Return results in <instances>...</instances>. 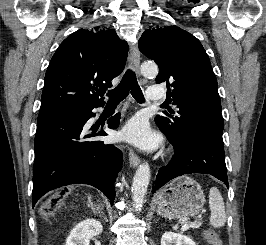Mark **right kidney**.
<instances>
[{"label":"right kidney","instance_id":"ca27d5eb","mask_svg":"<svg viewBox=\"0 0 266 245\" xmlns=\"http://www.w3.org/2000/svg\"><path fill=\"white\" fill-rule=\"evenodd\" d=\"M103 233V227L95 219H87L82 223H77L66 241V245H89L90 239Z\"/></svg>","mask_w":266,"mask_h":245}]
</instances>
